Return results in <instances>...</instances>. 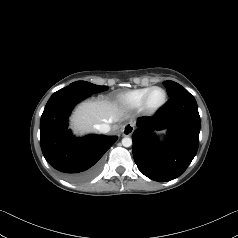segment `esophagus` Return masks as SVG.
I'll use <instances>...</instances> for the list:
<instances>
[{
	"label": "esophagus",
	"mask_w": 238,
	"mask_h": 238,
	"mask_svg": "<svg viewBox=\"0 0 238 238\" xmlns=\"http://www.w3.org/2000/svg\"><path fill=\"white\" fill-rule=\"evenodd\" d=\"M134 131V125L132 123H126L122 129L121 132L124 136H130Z\"/></svg>",
	"instance_id": "esophagus-1"
}]
</instances>
